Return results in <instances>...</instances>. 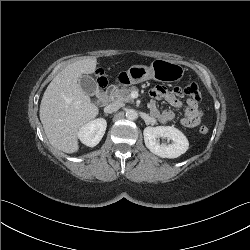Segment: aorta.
<instances>
[{
    "label": "aorta",
    "mask_w": 250,
    "mask_h": 250,
    "mask_svg": "<svg viewBox=\"0 0 250 250\" xmlns=\"http://www.w3.org/2000/svg\"><path fill=\"white\" fill-rule=\"evenodd\" d=\"M137 117H138V114H137V112L134 109H128L126 111V118L128 120H136Z\"/></svg>",
    "instance_id": "aorta-1"
}]
</instances>
